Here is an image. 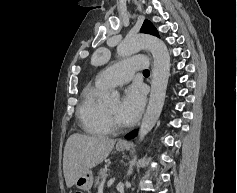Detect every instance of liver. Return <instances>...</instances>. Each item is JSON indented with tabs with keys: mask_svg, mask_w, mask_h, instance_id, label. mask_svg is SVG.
Returning <instances> with one entry per match:
<instances>
[{
	"mask_svg": "<svg viewBox=\"0 0 237 193\" xmlns=\"http://www.w3.org/2000/svg\"><path fill=\"white\" fill-rule=\"evenodd\" d=\"M115 140L85 134H72L66 142L63 172L66 186L71 188L86 170L102 163L112 151Z\"/></svg>",
	"mask_w": 237,
	"mask_h": 193,
	"instance_id": "liver-1",
	"label": "liver"
}]
</instances>
